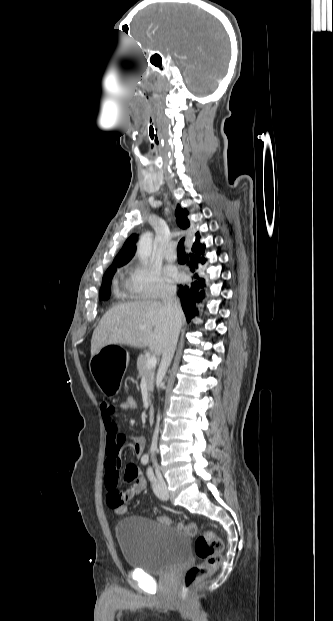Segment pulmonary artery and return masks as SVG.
<instances>
[{"mask_svg":"<svg viewBox=\"0 0 333 621\" xmlns=\"http://www.w3.org/2000/svg\"><path fill=\"white\" fill-rule=\"evenodd\" d=\"M164 257L165 259H167L168 261H174L177 258L176 252H175V246L173 244H170L165 253H164Z\"/></svg>","mask_w":333,"mask_h":621,"instance_id":"obj_1","label":"pulmonary artery"}]
</instances>
